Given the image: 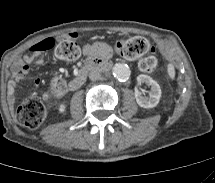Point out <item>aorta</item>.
Wrapping results in <instances>:
<instances>
[{
	"label": "aorta",
	"mask_w": 215,
	"mask_h": 183,
	"mask_svg": "<svg viewBox=\"0 0 215 183\" xmlns=\"http://www.w3.org/2000/svg\"><path fill=\"white\" fill-rule=\"evenodd\" d=\"M112 73L119 81H125L130 77L131 71L128 65L117 63L113 66Z\"/></svg>",
	"instance_id": "762f6f07"
}]
</instances>
